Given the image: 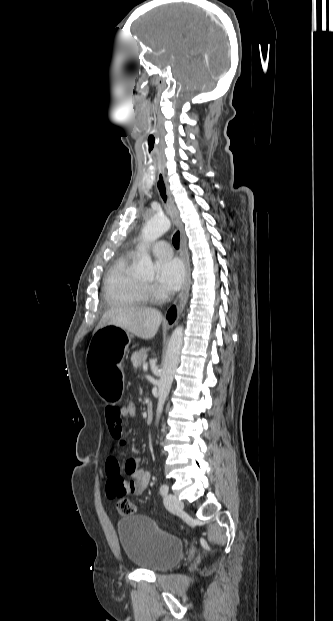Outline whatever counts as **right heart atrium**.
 Returning <instances> with one entry per match:
<instances>
[{
	"instance_id": "right-heart-atrium-1",
	"label": "right heart atrium",
	"mask_w": 333,
	"mask_h": 621,
	"mask_svg": "<svg viewBox=\"0 0 333 621\" xmlns=\"http://www.w3.org/2000/svg\"><path fill=\"white\" fill-rule=\"evenodd\" d=\"M148 291L149 294H151L152 296L156 297V298H160L161 297V292L159 290H157L155 287H148Z\"/></svg>"
}]
</instances>
